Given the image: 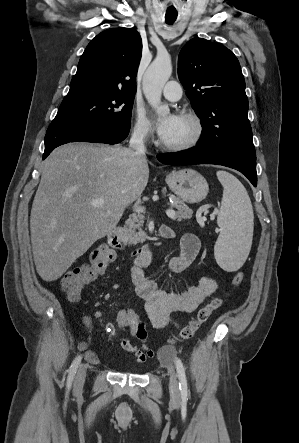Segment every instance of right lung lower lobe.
<instances>
[{
	"mask_svg": "<svg viewBox=\"0 0 299 443\" xmlns=\"http://www.w3.org/2000/svg\"><path fill=\"white\" fill-rule=\"evenodd\" d=\"M130 125L108 123L80 127H52L49 126L45 135V159L56 147L69 142H94L117 144L129 134Z\"/></svg>",
	"mask_w": 299,
	"mask_h": 443,
	"instance_id": "right-lung-lower-lobe-1",
	"label": "right lung lower lobe"
}]
</instances>
